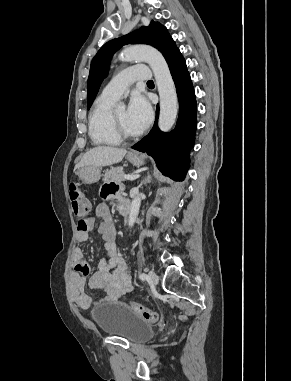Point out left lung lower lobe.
<instances>
[{"label":"left lung lower lobe","instance_id":"0a47b994","mask_svg":"<svg viewBox=\"0 0 291 381\" xmlns=\"http://www.w3.org/2000/svg\"><path fill=\"white\" fill-rule=\"evenodd\" d=\"M179 100V115L175 129L161 132L156 120L151 132L132 148L145 152L156 162L159 170L176 181H182L189 167V150L194 145L196 100L186 62L179 49L167 61Z\"/></svg>","mask_w":291,"mask_h":381}]
</instances>
